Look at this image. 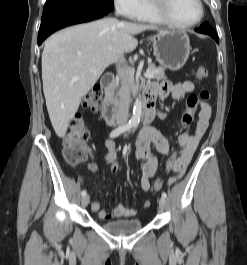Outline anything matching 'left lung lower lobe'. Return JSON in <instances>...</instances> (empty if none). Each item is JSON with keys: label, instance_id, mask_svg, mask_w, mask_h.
Masks as SVG:
<instances>
[{"label": "left lung lower lobe", "instance_id": "obj_1", "mask_svg": "<svg viewBox=\"0 0 247 265\" xmlns=\"http://www.w3.org/2000/svg\"><path fill=\"white\" fill-rule=\"evenodd\" d=\"M196 32L199 33H204V34H208L210 36H212L216 42H218V37L217 34L215 33V31L207 24L202 25L201 27L195 29Z\"/></svg>", "mask_w": 247, "mask_h": 265}]
</instances>
